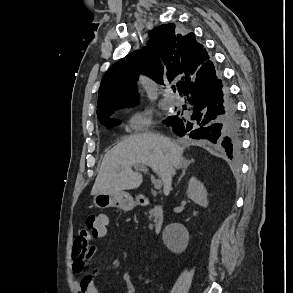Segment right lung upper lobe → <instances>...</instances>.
<instances>
[{"label": "right lung upper lobe", "mask_w": 293, "mask_h": 293, "mask_svg": "<svg viewBox=\"0 0 293 293\" xmlns=\"http://www.w3.org/2000/svg\"><path fill=\"white\" fill-rule=\"evenodd\" d=\"M207 61L209 56L193 33L182 36L175 24L160 25L150 32L146 47L122 58L106 72L98 93L97 116L136 100L139 73L161 84L177 80L181 92Z\"/></svg>", "instance_id": "1"}]
</instances>
